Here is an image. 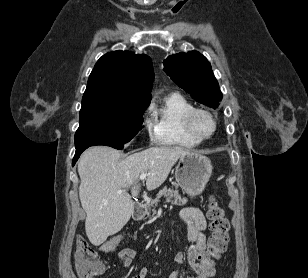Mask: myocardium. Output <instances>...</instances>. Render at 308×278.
<instances>
[{
    "label": "myocardium",
    "instance_id": "1",
    "mask_svg": "<svg viewBox=\"0 0 308 278\" xmlns=\"http://www.w3.org/2000/svg\"><path fill=\"white\" fill-rule=\"evenodd\" d=\"M197 114H205L206 116H208L210 118V120L212 121L213 124V129L212 131L205 136L199 135L194 127H193V119ZM183 126L185 131L195 140L202 142L205 140L210 139L216 132L217 130V121L214 117V115L203 108H192L191 110L187 111L184 116H183Z\"/></svg>",
    "mask_w": 308,
    "mask_h": 278
}]
</instances>
